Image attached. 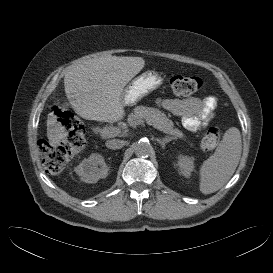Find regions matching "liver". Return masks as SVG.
Instances as JSON below:
<instances>
[{"mask_svg":"<svg viewBox=\"0 0 273 273\" xmlns=\"http://www.w3.org/2000/svg\"><path fill=\"white\" fill-rule=\"evenodd\" d=\"M141 57L101 56L72 66L64 77L67 98L75 112L87 120L117 122L125 115L123 91L144 67ZM68 132L51 112L47 138L58 147Z\"/></svg>","mask_w":273,"mask_h":273,"instance_id":"1","label":"liver"}]
</instances>
